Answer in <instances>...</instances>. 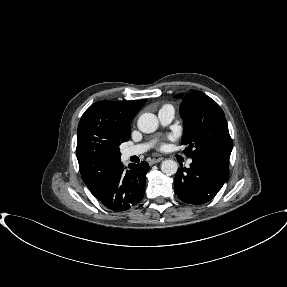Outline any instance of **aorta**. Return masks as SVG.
I'll return each mask as SVG.
<instances>
[{"instance_id":"obj_1","label":"aorta","mask_w":287,"mask_h":287,"mask_svg":"<svg viewBox=\"0 0 287 287\" xmlns=\"http://www.w3.org/2000/svg\"><path fill=\"white\" fill-rule=\"evenodd\" d=\"M138 129L143 133H153L157 130L159 122L153 113H143L137 122ZM178 165L174 160H164L161 164V171L166 175H174Z\"/></svg>"}]
</instances>
